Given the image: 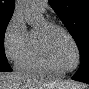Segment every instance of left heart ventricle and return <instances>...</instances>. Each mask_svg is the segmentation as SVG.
<instances>
[{
	"mask_svg": "<svg viewBox=\"0 0 89 89\" xmlns=\"http://www.w3.org/2000/svg\"><path fill=\"white\" fill-rule=\"evenodd\" d=\"M44 23L39 27L42 28ZM50 54L55 67L59 70H68L76 63L75 48L67 35L59 29L49 36Z\"/></svg>",
	"mask_w": 89,
	"mask_h": 89,
	"instance_id": "obj_1",
	"label": "left heart ventricle"
}]
</instances>
